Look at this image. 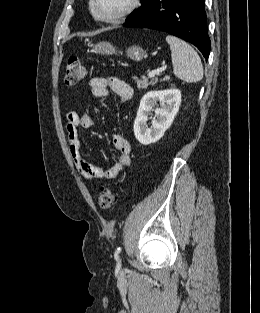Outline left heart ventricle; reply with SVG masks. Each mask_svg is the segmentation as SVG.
<instances>
[{"label": "left heart ventricle", "mask_w": 260, "mask_h": 313, "mask_svg": "<svg viewBox=\"0 0 260 313\" xmlns=\"http://www.w3.org/2000/svg\"><path fill=\"white\" fill-rule=\"evenodd\" d=\"M130 0H97V9L101 15L113 16L123 11Z\"/></svg>", "instance_id": "1"}]
</instances>
